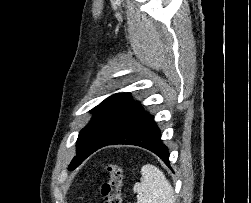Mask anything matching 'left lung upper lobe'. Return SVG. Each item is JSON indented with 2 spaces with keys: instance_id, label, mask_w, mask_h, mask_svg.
I'll use <instances>...</instances> for the list:
<instances>
[{
  "instance_id": "5c2ea615",
  "label": "left lung upper lobe",
  "mask_w": 251,
  "mask_h": 203,
  "mask_svg": "<svg viewBox=\"0 0 251 203\" xmlns=\"http://www.w3.org/2000/svg\"><path fill=\"white\" fill-rule=\"evenodd\" d=\"M92 111L93 118L79 133L76 156L71 161L69 170L75 169L93 151L145 113L140 103L133 101L127 93L108 97Z\"/></svg>"
}]
</instances>
